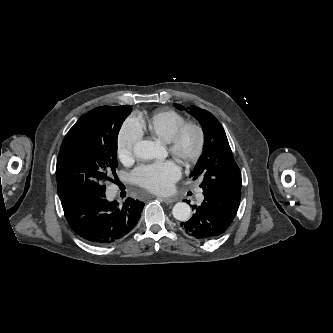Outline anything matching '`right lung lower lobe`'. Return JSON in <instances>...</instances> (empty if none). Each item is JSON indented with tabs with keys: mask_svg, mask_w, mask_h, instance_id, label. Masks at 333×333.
Returning a JSON list of instances; mask_svg holds the SVG:
<instances>
[{
	"mask_svg": "<svg viewBox=\"0 0 333 333\" xmlns=\"http://www.w3.org/2000/svg\"><path fill=\"white\" fill-rule=\"evenodd\" d=\"M71 229L83 240L95 245H108L127 235L138 222L144 203L127 198L120 205L109 202L105 195L62 201Z\"/></svg>",
	"mask_w": 333,
	"mask_h": 333,
	"instance_id": "right-lung-lower-lobe-1",
	"label": "right lung lower lobe"
}]
</instances>
